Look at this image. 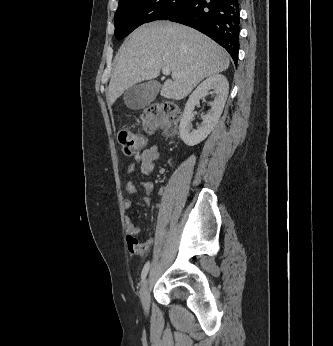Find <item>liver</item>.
<instances>
[{
	"mask_svg": "<svg viewBox=\"0 0 333 346\" xmlns=\"http://www.w3.org/2000/svg\"><path fill=\"white\" fill-rule=\"evenodd\" d=\"M229 64L228 53L195 29L171 22L148 23L120 47L107 102L111 106L130 87L157 78L164 67L170 68L172 80L164 82L161 96L181 100L204 78L226 70Z\"/></svg>",
	"mask_w": 333,
	"mask_h": 346,
	"instance_id": "6515ba94",
	"label": "liver"
}]
</instances>
